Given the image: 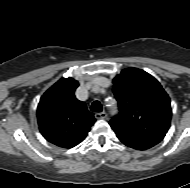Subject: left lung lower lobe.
I'll list each match as a JSON object with an SVG mask.
<instances>
[{"label": "left lung lower lobe", "instance_id": "0a47b994", "mask_svg": "<svg viewBox=\"0 0 190 188\" xmlns=\"http://www.w3.org/2000/svg\"><path fill=\"white\" fill-rule=\"evenodd\" d=\"M110 126L121 142L137 150L149 149L162 141L165 136L157 133L134 130L114 123L110 124Z\"/></svg>", "mask_w": 190, "mask_h": 188}]
</instances>
